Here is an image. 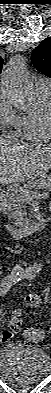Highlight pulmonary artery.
<instances>
[{
  "label": "pulmonary artery",
  "mask_w": 51,
  "mask_h": 393,
  "mask_svg": "<svg viewBox=\"0 0 51 393\" xmlns=\"http://www.w3.org/2000/svg\"><path fill=\"white\" fill-rule=\"evenodd\" d=\"M35 83H36V87L38 89H44V90L51 89V82L48 79L44 78V77H38L36 79Z\"/></svg>",
  "instance_id": "e3ab8cb5"
}]
</instances>
